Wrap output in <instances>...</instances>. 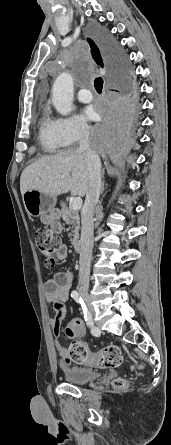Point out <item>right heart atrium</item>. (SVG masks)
<instances>
[{
	"mask_svg": "<svg viewBox=\"0 0 171 445\" xmlns=\"http://www.w3.org/2000/svg\"><path fill=\"white\" fill-rule=\"evenodd\" d=\"M58 134L65 145L75 144L88 137V125L77 116L58 118L55 121Z\"/></svg>",
	"mask_w": 171,
	"mask_h": 445,
	"instance_id": "d8ad5b80",
	"label": "right heart atrium"
}]
</instances>
